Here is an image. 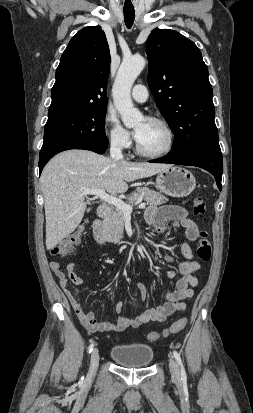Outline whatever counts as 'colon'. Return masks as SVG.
I'll list each match as a JSON object with an SVG mask.
<instances>
[{"label": "colon", "mask_w": 253, "mask_h": 413, "mask_svg": "<svg viewBox=\"0 0 253 413\" xmlns=\"http://www.w3.org/2000/svg\"><path fill=\"white\" fill-rule=\"evenodd\" d=\"M193 214L202 220H205L206 203L204 198L196 197L192 206ZM83 234V226H80L75 231L68 234L57 245L51 249L53 255L67 256L69 255L74 246L78 245L81 241ZM199 238V244L197 247V256L200 260L206 262L211 258V244L208 240V234L205 230H200L197 234ZM186 318H180L176 320L169 328L162 332H151L147 338L150 342L157 341L161 337H166L172 334L180 332L186 326Z\"/></svg>", "instance_id": "5ec220e1"}]
</instances>
